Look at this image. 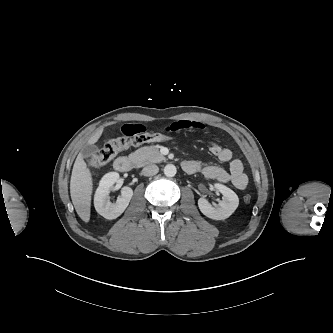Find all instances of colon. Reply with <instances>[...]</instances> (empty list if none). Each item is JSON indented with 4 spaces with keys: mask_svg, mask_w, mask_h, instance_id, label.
<instances>
[{
    "mask_svg": "<svg viewBox=\"0 0 333 333\" xmlns=\"http://www.w3.org/2000/svg\"><path fill=\"white\" fill-rule=\"evenodd\" d=\"M176 139L166 133H142L137 136H123L109 140L102 149L92 155L88 163L92 167H100L112 160L119 152L131 146H139L151 142L174 143ZM246 203L251 202V195L244 196Z\"/></svg>",
    "mask_w": 333,
    "mask_h": 333,
    "instance_id": "5ec220e1",
    "label": "colon"
}]
</instances>
